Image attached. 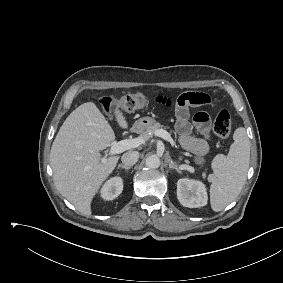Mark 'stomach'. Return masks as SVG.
Returning a JSON list of instances; mask_svg holds the SVG:
<instances>
[{"label":"stomach","instance_id":"stomach-1","mask_svg":"<svg viewBox=\"0 0 283 283\" xmlns=\"http://www.w3.org/2000/svg\"><path fill=\"white\" fill-rule=\"evenodd\" d=\"M155 119L151 117H143L135 121L133 125V130L135 132L141 133L147 130L149 127H151L155 123Z\"/></svg>","mask_w":283,"mask_h":283}]
</instances>
